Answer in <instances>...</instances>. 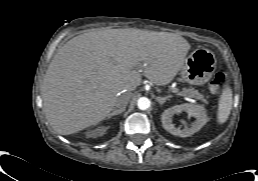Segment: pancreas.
I'll use <instances>...</instances> for the list:
<instances>
[{"mask_svg": "<svg viewBox=\"0 0 258 181\" xmlns=\"http://www.w3.org/2000/svg\"><path fill=\"white\" fill-rule=\"evenodd\" d=\"M179 95H181V96H189V97H193V98H195L197 100L205 101L204 96L201 93H199L197 90L192 88V87L183 88L179 92Z\"/></svg>", "mask_w": 258, "mask_h": 181, "instance_id": "1", "label": "pancreas"}]
</instances>
